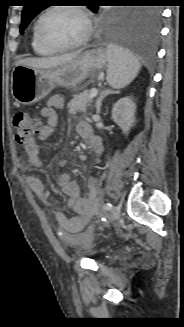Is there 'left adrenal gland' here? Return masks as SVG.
<instances>
[{
    "label": "left adrenal gland",
    "instance_id": "left-adrenal-gland-1",
    "mask_svg": "<svg viewBox=\"0 0 184 327\" xmlns=\"http://www.w3.org/2000/svg\"><path fill=\"white\" fill-rule=\"evenodd\" d=\"M115 93H118V92L117 91H112V90H109V89L101 91L100 96H99V98L96 101V113L97 114L100 113V109H101V105H102V100L106 96H108L109 94H115Z\"/></svg>",
    "mask_w": 184,
    "mask_h": 327
}]
</instances>
